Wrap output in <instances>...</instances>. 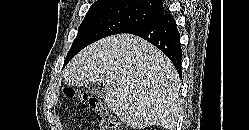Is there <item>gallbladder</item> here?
<instances>
[{
	"label": "gallbladder",
	"mask_w": 249,
	"mask_h": 130,
	"mask_svg": "<svg viewBox=\"0 0 249 130\" xmlns=\"http://www.w3.org/2000/svg\"><path fill=\"white\" fill-rule=\"evenodd\" d=\"M87 91L94 97L102 98L105 96V88L100 83L89 84Z\"/></svg>",
	"instance_id": "bac80fb5"
}]
</instances>
